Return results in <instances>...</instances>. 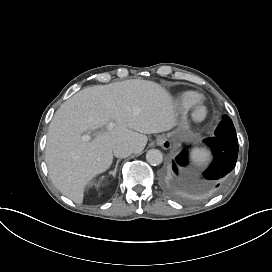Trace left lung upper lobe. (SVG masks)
I'll use <instances>...</instances> for the list:
<instances>
[{
    "label": "left lung upper lobe",
    "instance_id": "obj_1",
    "mask_svg": "<svg viewBox=\"0 0 272 272\" xmlns=\"http://www.w3.org/2000/svg\"><path fill=\"white\" fill-rule=\"evenodd\" d=\"M215 136L238 142L232 120L227 115H224L222 117V121L219 123L218 127L215 130Z\"/></svg>",
    "mask_w": 272,
    "mask_h": 272
}]
</instances>
